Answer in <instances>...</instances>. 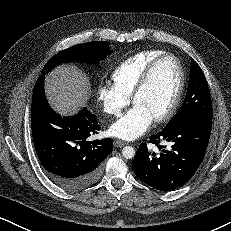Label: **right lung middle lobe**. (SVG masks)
Returning a JSON list of instances; mask_svg holds the SVG:
<instances>
[{
	"instance_id": "obj_1",
	"label": "right lung middle lobe",
	"mask_w": 231,
	"mask_h": 231,
	"mask_svg": "<svg viewBox=\"0 0 231 231\" xmlns=\"http://www.w3.org/2000/svg\"><path fill=\"white\" fill-rule=\"evenodd\" d=\"M112 51L106 41L88 42L72 46L54 55L44 66L42 75L48 73L61 63L81 61L99 66V62L110 55Z\"/></svg>"
}]
</instances>
